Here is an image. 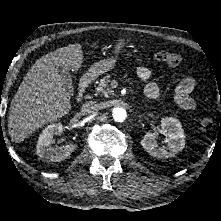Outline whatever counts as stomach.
Returning <instances> with one entry per match:
<instances>
[{
  "mask_svg": "<svg viewBox=\"0 0 221 221\" xmlns=\"http://www.w3.org/2000/svg\"><path fill=\"white\" fill-rule=\"evenodd\" d=\"M125 43L126 42L124 39H119L116 42V44L114 46V50H113V54L115 56H117L120 53V51L124 47ZM115 62H116V60L114 57L100 60V61L94 63L90 67V69L88 70V74L94 78L98 77L99 75L110 71L115 66Z\"/></svg>",
  "mask_w": 221,
  "mask_h": 221,
  "instance_id": "obj_1",
  "label": "stomach"
}]
</instances>
